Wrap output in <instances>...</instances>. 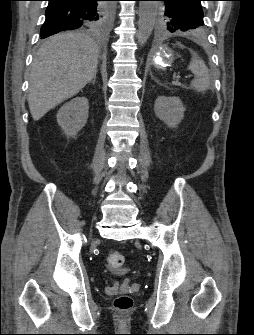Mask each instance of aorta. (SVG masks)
<instances>
[{
    "mask_svg": "<svg viewBox=\"0 0 254 335\" xmlns=\"http://www.w3.org/2000/svg\"><path fill=\"white\" fill-rule=\"evenodd\" d=\"M157 6L156 1H140L137 40L141 46L147 42L152 34L157 15Z\"/></svg>",
    "mask_w": 254,
    "mask_h": 335,
    "instance_id": "1",
    "label": "aorta"
}]
</instances>
